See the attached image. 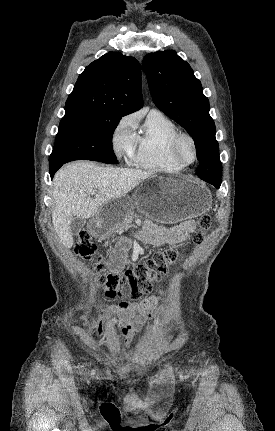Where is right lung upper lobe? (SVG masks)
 <instances>
[{"mask_svg":"<svg viewBox=\"0 0 275 431\" xmlns=\"http://www.w3.org/2000/svg\"><path fill=\"white\" fill-rule=\"evenodd\" d=\"M143 106L138 61L109 52L79 75L65 104V115L110 114L125 116Z\"/></svg>","mask_w":275,"mask_h":431,"instance_id":"right-lung-upper-lobe-1","label":"right lung upper lobe"}]
</instances>
